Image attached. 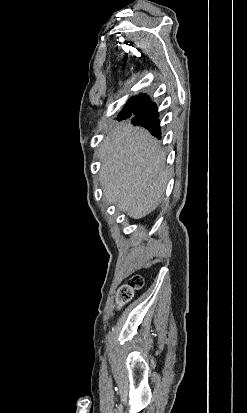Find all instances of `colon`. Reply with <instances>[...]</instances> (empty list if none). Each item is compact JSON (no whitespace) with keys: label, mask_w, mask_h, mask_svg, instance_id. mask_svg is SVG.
Masks as SVG:
<instances>
[{"label":"colon","mask_w":247,"mask_h":413,"mask_svg":"<svg viewBox=\"0 0 247 413\" xmlns=\"http://www.w3.org/2000/svg\"><path fill=\"white\" fill-rule=\"evenodd\" d=\"M144 286V278L142 275H133L129 277L118 290L116 306L117 308L123 307L128 303L134 293V291L141 289Z\"/></svg>","instance_id":"1"}]
</instances>
